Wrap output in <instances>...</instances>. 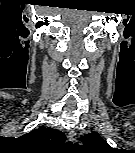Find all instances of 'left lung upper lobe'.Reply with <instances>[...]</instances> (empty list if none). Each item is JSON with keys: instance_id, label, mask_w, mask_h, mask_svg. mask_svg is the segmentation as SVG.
I'll return each mask as SVG.
<instances>
[{"instance_id": "5c2ea615", "label": "left lung upper lobe", "mask_w": 135, "mask_h": 153, "mask_svg": "<svg viewBox=\"0 0 135 153\" xmlns=\"http://www.w3.org/2000/svg\"><path fill=\"white\" fill-rule=\"evenodd\" d=\"M83 145L95 152H106L111 150L109 144L101 136L94 132L83 137Z\"/></svg>"}]
</instances>
